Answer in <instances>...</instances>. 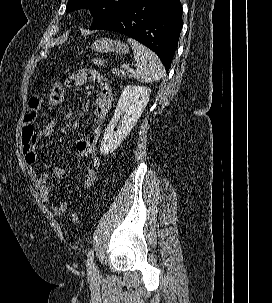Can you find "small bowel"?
<instances>
[{
    "mask_svg": "<svg viewBox=\"0 0 272 303\" xmlns=\"http://www.w3.org/2000/svg\"><path fill=\"white\" fill-rule=\"evenodd\" d=\"M86 82H94L99 88V95L94 104V112L96 115V127L87 136L78 139L75 143V149L78 155L89 159L90 164L86 169L85 177L81 183L83 189L91 188L97 178V169L100 165V158L96 150V145L100 139L101 126L104 119L108 115L112 103V89L107 79L99 72L91 69H85L74 72L67 80L69 87L79 86ZM42 99L39 95L33 96L28 102V109L24 118V125L21 135V148L24 161L28 168L29 177L39 192L43 202L48 203L50 199V188L46 184L47 172H38L34 168L37 161L36 146L41 138L51 136L54 128L43 126L36 130V121L40 112ZM53 175L59 180H65L66 172L61 167H54ZM68 204L61 201L51 206L54 215L62 216L66 213Z\"/></svg>",
    "mask_w": 272,
    "mask_h": 303,
    "instance_id": "1",
    "label": "small bowel"
}]
</instances>
